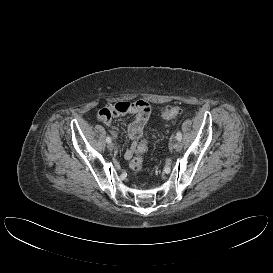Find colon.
I'll use <instances>...</instances> for the list:
<instances>
[{
    "mask_svg": "<svg viewBox=\"0 0 273 273\" xmlns=\"http://www.w3.org/2000/svg\"><path fill=\"white\" fill-rule=\"evenodd\" d=\"M182 112L183 110L179 106H168L163 110L162 117L165 120H171L179 116ZM146 148H147L146 143L143 141L139 142L136 145L135 154L130 161V168L133 171L141 170L143 166V154L145 153Z\"/></svg>",
    "mask_w": 273,
    "mask_h": 273,
    "instance_id": "obj_1",
    "label": "colon"
}]
</instances>
